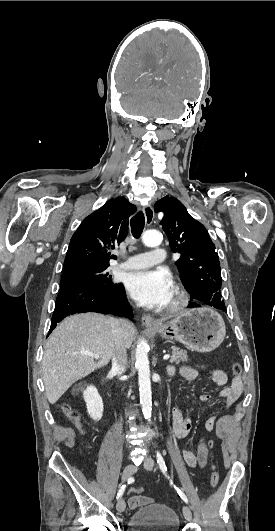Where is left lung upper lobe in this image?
<instances>
[{
    "label": "left lung upper lobe",
    "instance_id": "obj_1",
    "mask_svg": "<svg viewBox=\"0 0 275 531\" xmlns=\"http://www.w3.org/2000/svg\"><path fill=\"white\" fill-rule=\"evenodd\" d=\"M155 212H163L160 224L174 253H180L176 265L191 300L225 310L221 299L220 262L215 245L205 227L192 218L176 198L166 196L157 201ZM192 302L188 307H196Z\"/></svg>",
    "mask_w": 275,
    "mask_h": 531
}]
</instances>
